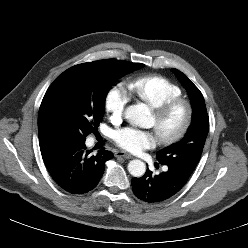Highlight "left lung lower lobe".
Returning a JSON list of instances; mask_svg holds the SVG:
<instances>
[{
	"instance_id": "1",
	"label": "left lung lower lobe",
	"mask_w": 248,
	"mask_h": 248,
	"mask_svg": "<svg viewBox=\"0 0 248 248\" xmlns=\"http://www.w3.org/2000/svg\"><path fill=\"white\" fill-rule=\"evenodd\" d=\"M188 178L171 166H168L166 172L155 176L147 169L144 176L132 179V189L140 200L158 203L176 195L184 187Z\"/></svg>"
}]
</instances>
